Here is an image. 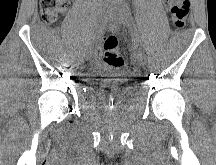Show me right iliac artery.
Instances as JSON below:
<instances>
[{
  "label": "right iliac artery",
  "instance_id": "1",
  "mask_svg": "<svg viewBox=\"0 0 216 165\" xmlns=\"http://www.w3.org/2000/svg\"><path fill=\"white\" fill-rule=\"evenodd\" d=\"M108 23V17L106 19L105 22H103V24L98 28L97 32H96V37L98 38L101 34H103L104 32V29L106 27ZM96 37L94 38V40L96 39ZM93 39L92 40H88V43H87V49L89 50L91 48V46L93 45V43L95 42Z\"/></svg>",
  "mask_w": 216,
  "mask_h": 165
}]
</instances>
